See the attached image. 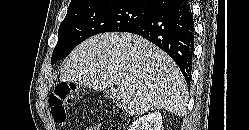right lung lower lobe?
<instances>
[{"label": "right lung lower lobe", "mask_w": 249, "mask_h": 130, "mask_svg": "<svg viewBox=\"0 0 249 130\" xmlns=\"http://www.w3.org/2000/svg\"><path fill=\"white\" fill-rule=\"evenodd\" d=\"M122 32L138 34L165 51L190 82L194 52V20L186 0H175L152 17L125 28Z\"/></svg>", "instance_id": "98d812e1"}]
</instances>
